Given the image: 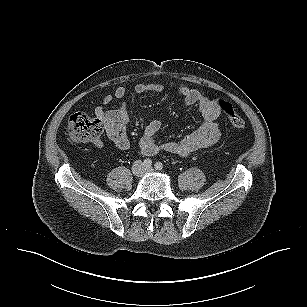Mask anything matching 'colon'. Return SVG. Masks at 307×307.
Listing matches in <instances>:
<instances>
[{"instance_id":"colon-1","label":"colon","mask_w":307,"mask_h":307,"mask_svg":"<svg viewBox=\"0 0 307 307\" xmlns=\"http://www.w3.org/2000/svg\"><path fill=\"white\" fill-rule=\"evenodd\" d=\"M217 104L234 127L239 129L246 127L245 120L235 113L229 102L219 99ZM102 132L103 126L101 122L86 114L77 112L69 118L67 136L72 143H94L100 139Z\"/></svg>"}]
</instances>
